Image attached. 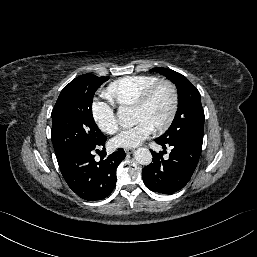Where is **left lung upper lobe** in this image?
Segmentation results:
<instances>
[{
  "mask_svg": "<svg viewBox=\"0 0 257 257\" xmlns=\"http://www.w3.org/2000/svg\"><path fill=\"white\" fill-rule=\"evenodd\" d=\"M151 70L166 76L178 89V110L171 126L159 139L165 142L172 140L203 142L205 116L199 91L178 72L162 67Z\"/></svg>",
  "mask_w": 257,
  "mask_h": 257,
  "instance_id": "1",
  "label": "left lung upper lobe"
}]
</instances>
